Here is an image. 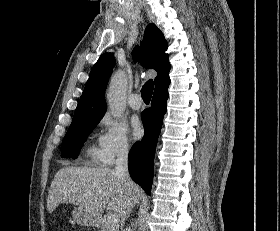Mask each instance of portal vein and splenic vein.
<instances>
[{
  "label": "portal vein and splenic vein",
  "mask_w": 280,
  "mask_h": 231,
  "mask_svg": "<svg viewBox=\"0 0 280 231\" xmlns=\"http://www.w3.org/2000/svg\"><path fill=\"white\" fill-rule=\"evenodd\" d=\"M107 219L109 223H119L120 221V217L116 213H110V215H107Z\"/></svg>",
  "instance_id": "obj_1"
}]
</instances>
